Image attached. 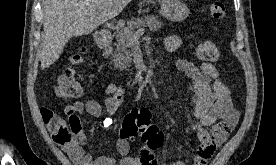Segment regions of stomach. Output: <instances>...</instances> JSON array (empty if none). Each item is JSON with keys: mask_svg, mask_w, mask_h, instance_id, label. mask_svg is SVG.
<instances>
[{"mask_svg": "<svg viewBox=\"0 0 276 165\" xmlns=\"http://www.w3.org/2000/svg\"><path fill=\"white\" fill-rule=\"evenodd\" d=\"M161 15L173 22H180L187 18L189 10L180 0H159Z\"/></svg>", "mask_w": 276, "mask_h": 165, "instance_id": "1", "label": "stomach"}]
</instances>
